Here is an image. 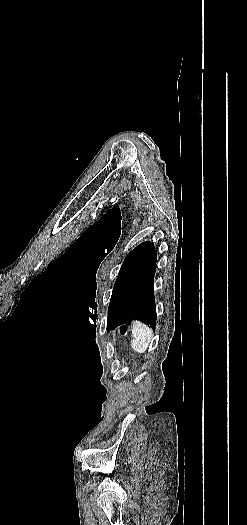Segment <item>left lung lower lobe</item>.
Returning <instances> with one entry per match:
<instances>
[{"instance_id": "0a47b994", "label": "left lung lower lobe", "mask_w": 247, "mask_h": 525, "mask_svg": "<svg viewBox=\"0 0 247 525\" xmlns=\"http://www.w3.org/2000/svg\"><path fill=\"white\" fill-rule=\"evenodd\" d=\"M156 258L151 266L125 291L108 310L107 327L114 328L140 319L153 329L156 324L153 278Z\"/></svg>"}]
</instances>
